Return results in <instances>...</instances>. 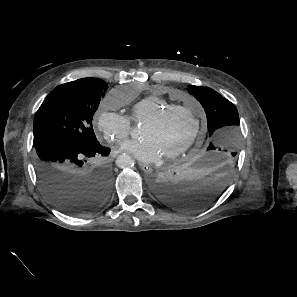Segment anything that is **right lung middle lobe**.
Masks as SVG:
<instances>
[{
	"label": "right lung middle lobe",
	"mask_w": 297,
	"mask_h": 297,
	"mask_svg": "<svg viewBox=\"0 0 297 297\" xmlns=\"http://www.w3.org/2000/svg\"><path fill=\"white\" fill-rule=\"evenodd\" d=\"M107 88L97 78L57 86L36 113L33 145L52 138L68 139L83 146L98 144L92 118Z\"/></svg>",
	"instance_id": "1"
}]
</instances>
